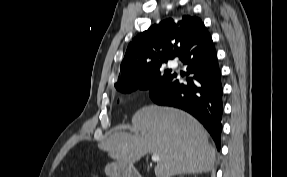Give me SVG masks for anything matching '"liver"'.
I'll list each match as a JSON object with an SVG mask.
<instances>
[{
	"mask_svg": "<svg viewBox=\"0 0 287 177\" xmlns=\"http://www.w3.org/2000/svg\"><path fill=\"white\" fill-rule=\"evenodd\" d=\"M134 134L117 131L99 147L129 166L148 153L158 154L156 177L207 173L215 162V149L208 133L191 115L178 109L145 106L133 118Z\"/></svg>",
	"mask_w": 287,
	"mask_h": 177,
	"instance_id": "obj_1",
	"label": "liver"
}]
</instances>
